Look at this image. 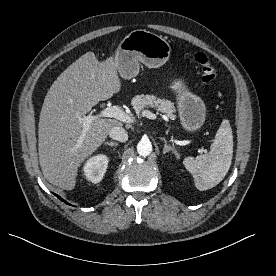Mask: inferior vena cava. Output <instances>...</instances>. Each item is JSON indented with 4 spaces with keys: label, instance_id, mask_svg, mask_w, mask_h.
Masks as SVG:
<instances>
[{
    "label": "inferior vena cava",
    "instance_id": "obj_1",
    "mask_svg": "<svg viewBox=\"0 0 276 276\" xmlns=\"http://www.w3.org/2000/svg\"><path fill=\"white\" fill-rule=\"evenodd\" d=\"M109 136L113 140L120 141V142H125L128 140L127 131H125V129L120 126L112 127L111 130L109 131Z\"/></svg>",
    "mask_w": 276,
    "mask_h": 276
}]
</instances>
